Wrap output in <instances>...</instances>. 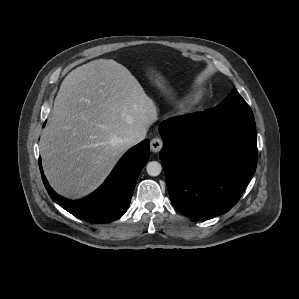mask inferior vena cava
I'll return each instance as SVG.
<instances>
[{
  "label": "inferior vena cava",
  "mask_w": 299,
  "mask_h": 299,
  "mask_svg": "<svg viewBox=\"0 0 299 299\" xmlns=\"http://www.w3.org/2000/svg\"><path fill=\"white\" fill-rule=\"evenodd\" d=\"M146 136V131H140L137 133H133L130 136H127L122 139V143L128 146L135 145L142 141Z\"/></svg>",
  "instance_id": "602c4592"
}]
</instances>
